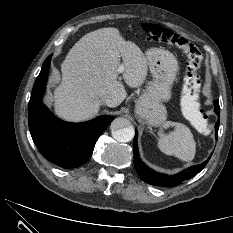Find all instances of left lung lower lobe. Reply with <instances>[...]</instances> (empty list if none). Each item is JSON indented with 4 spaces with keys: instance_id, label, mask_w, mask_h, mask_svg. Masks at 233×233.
I'll use <instances>...</instances> for the list:
<instances>
[{
    "instance_id": "0a47b994",
    "label": "left lung lower lobe",
    "mask_w": 233,
    "mask_h": 233,
    "mask_svg": "<svg viewBox=\"0 0 233 233\" xmlns=\"http://www.w3.org/2000/svg\"><path fill=\"white\" fill-rule=\"evenodd\" d=\"M214 111L219 116L220 108H219V102H214ZM218 129H219V120L215 124V130H216V136L218 135ZM134 165L135 168L139 174V176L142 178L143 181L146 183H149L154 186H166V187H172L181 184L184 180L190 179L194 177L196 174H198L207 164L211 156L202 164L192 166L188 168L187 170H184L183 172H180L173 176H168L165 174L158 173L151 168H149L147 165H145L142 160L139 157L138 154V146H137V131L134 137ZM212 155V154H211Z\"/></svg>"
}]
</instances>
